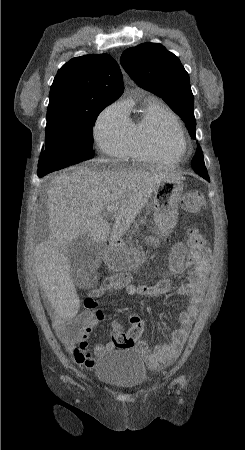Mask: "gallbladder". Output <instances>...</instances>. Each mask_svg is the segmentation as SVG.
<instances>
[{"instance_id": "gallbladder-1", "label": "gallbladder", "mask_w": 245, "mask_h": 450, "mask_svg": "<svg viewBox=\"0 0 245 450\" xmlns=\"http://www.w3.org/2000/svg\"><path fill=\"white\" fill-rule=\"evenodd\" d=\"M66 254L71 262L73 280L78 283L79 277L97 269L102 260V248L86 236L71 242Z\"/></svg>"}]
</instances>
